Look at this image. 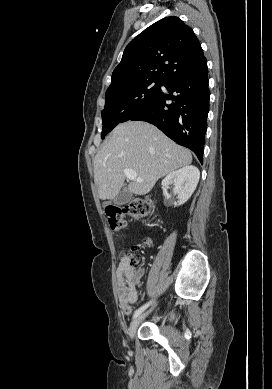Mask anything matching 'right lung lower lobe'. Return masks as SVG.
<instances>
[{"instance_id": "obj_1", "label": "right lung lower lobe", "mask_w": 272, "mask_h": 389, "mask_svg": "<svg viewBox=\"0 0 272 389\" xmlns=\"http://www.w3.org/2000/svg\"><path fill=\"white\" fill-rule=\"evenodd\" d=\"M164 87L169 94L161 90L129 120L154 124L173 141L191 149L202 163L210 97L206 58L172 76Z\"/></svg>"}]
</instances>
